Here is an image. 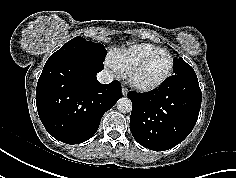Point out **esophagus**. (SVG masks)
Wrapping results in <instances>:
<instances>
[{"label": "esophagus", "mask_w": 236, "mask_h": 178, "mask_svg": "<svg viewBox=\"0 0 236 178\" xmlns=\"http://www.w3.org/2000/svg\"><path fill=\"white\" fill-rule=\"evenodd\" d=\"M121 92L123 96L127 95V89L124 86L121 87Z\"/></svg>", "instance_id": "34e87169"}]
</instances>
